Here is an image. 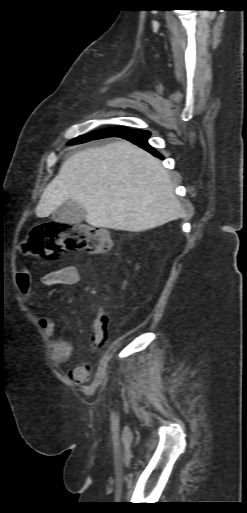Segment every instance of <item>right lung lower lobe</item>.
I'll list each match as a JSON object with an SVG mask.
<instances>
[{
  "label": "right lung lower lobe",
  "instance_id": "1",
  "mask_svg": "<svg viewBox=\"0 0 247 513\" xmlns=\"http://www.w3.org/2000/svg\"><path fill=\"white\" fill-rule=\"evenodd\" d=\"M149 135H150V133L147 131L134 129V130H124L118 134H115V135H112L109 137L114 136V137H121V138L127 139V140L133 142L134 144L140 146L141 148L147 150L154 156L163 159V157L153 147H151L148 144L147 139H148ZM69 144L70 145L79 144V141H74V142L71 141Z\"/></svg>",
  "mask_w": 247,
  "mask_h": 513
}]
</instances>
